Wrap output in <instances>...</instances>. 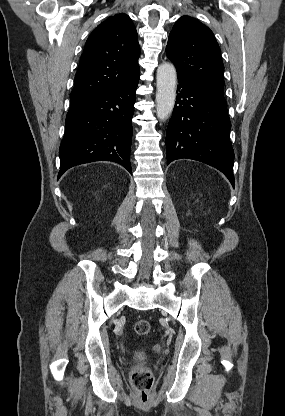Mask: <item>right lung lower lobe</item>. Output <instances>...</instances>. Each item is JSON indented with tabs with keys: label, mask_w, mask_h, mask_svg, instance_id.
<instances>
[{
	"label": "right lung lower lobe",
	"mask_w": 285,
	"mask_h": 416,
	"mask_svg": "<svg viewBox=\"0 0 285 416\" xmlns=\"http://www.w3.org/2000/svg\"><path fill=\"white\" fill-rule=\"evenodd\" d=\"M139 75L103 95L70 105L58 179L73 166L103 160L117 162L132 174V117Z\"/></svg>",
	"instance_id": "1"
}]
</instances>
